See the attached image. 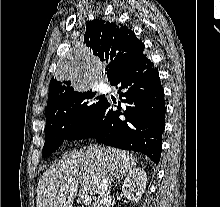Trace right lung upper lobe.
<instances>
[{"label":"right lung upper lobe","mask_w":220,"mask_h":207,"mask_svg":"<svg viewBox=\"0 0 220 207\" xmlns=\"http://www.w3.org/2000/svg\"><path fill=\"white\" fill-rule=\"evenodd\" d=\"M84 44L91 55L108 64V81L144 50V44L127 26L102 19L87 23ZM75 92L71 81L52 77L45 114L53 110L62 99Z\"/></svg>","instance_id":"obj_1"}]
</instances>
